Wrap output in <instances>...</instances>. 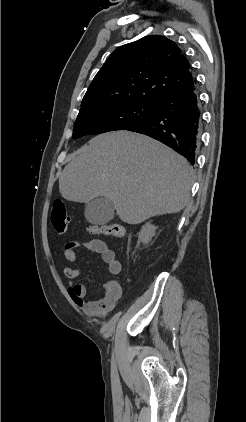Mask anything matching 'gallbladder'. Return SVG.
Returning <instances> with one entry per match:
<instances>
[{"instance_id":"1","label":"gallbladder","mask_w":246,"mask_h":422,"mask_svg":"<svg viewBox=\"0 0 246 422\" xmlns=\"http://www.w3.org/2000/svg\"><path fill=\"white\" fill-rule=\"evenodd\" d=\"M115 214V208L110 199L97 197L86 204L85 218L95 225H104L111 221Z\"/></svg>"}]
</instances>
